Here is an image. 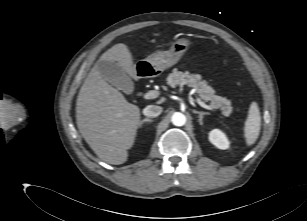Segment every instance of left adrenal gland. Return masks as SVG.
<instances>
[{
	"mask_svg": "<svg viewBox=\"0 0 307 221\" xmlns=\"http://www.w3.org/2000/svg\"><path fill=\"white\" fill-rule=\"evenodd\" d=\"M193 113L199 115V124L200 125H203V117H204V115H208L209 114L208 112H202V111H196V110H193Z\"/></svg>",
	"mask_w": 307,
	"mask_h": 221,
	"instance_id": "left-adrenal-gland-1",
	"label": "left adrenal gland"
}]
</instances>
